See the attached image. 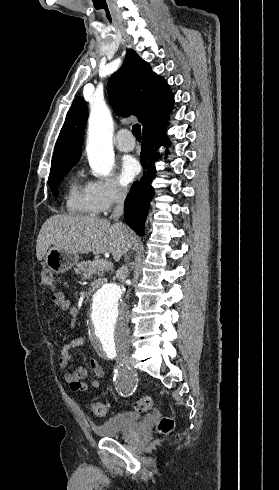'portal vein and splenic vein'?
Returning <instances> with one entry per match:
<instances>
[{"label":"portal vein and splenic vein","instance_id":"portal-vein-and-splenic-vein-1","mask_svg":"<svg viewBox=\"0 0 279 490\" xmlns=\"http://www.w3.org/2000/svg\"><path fill=\"white\" fill-rule=\"evenodd\" d=\"M99 264H104V260H97V262H93V266H99Z\"/></svg>","mask_w":279,"mask_h":490}]
</instances>
